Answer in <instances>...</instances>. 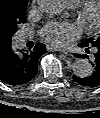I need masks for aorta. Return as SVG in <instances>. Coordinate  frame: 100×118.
Instances as JSON below:
<instances>
[{
	"instance_id": "762f6f07",
	"label": "aorta",
	"mask_w": 100,
	"mask_h": 118,
	"mask_svg": "<svg viewBox=\"0 0 100 118\" xmlns=\"http://www.w3.org/2000/svg\"><path fill=\"white\" fill-rule=\"evenodd\" d=\"M38 5L42 11L51 16H58L64 12L65 4L63 0H38ZM73 72L77 77L84 78L92 74V65L87 59H77L73 63Z\"/></svg>"
}]
</instances>
